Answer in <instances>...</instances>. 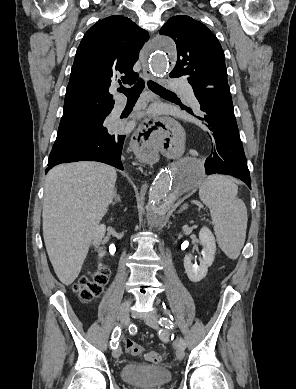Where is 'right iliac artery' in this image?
Segmentation results:
<instances>
[{
	"instance_id": "obj_1",
	"label": "right iliac artery",
	"mask_w": 296,
	"mask_h": 389,
	"mask_svg": "<svg viewBox=\"0 0 296 389\" xmlns=\"http://www.w3.org/2000/svg\"><path fill=\"white\" fill-rule=\"evenodd\" d=\"M121 334L120 327H116L112 333V340L110 342V346L112 349H116L118 347V340Z\"/></svg>"
}]
</instances>
